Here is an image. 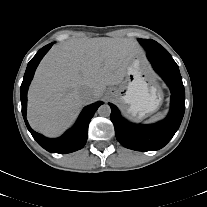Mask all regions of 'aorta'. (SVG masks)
Listing matches in <instances>:
<instances>
[{"mask_svg": "<svg viewBox=\"0 0 207 207\" xmlns=\"http://www.w3.org/2000/svg\"><path fill=\"white\" fill-rule=\"evenodd\" d=\"M97 112L102 117H109L111 114V108L109 105L103 104L98 108Z\"/></svg>", "mask_w": 207, "mask_h": 207, "instance_id": "1", "label": "aorta"}]
</instances>
